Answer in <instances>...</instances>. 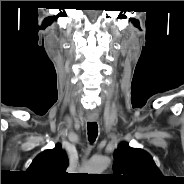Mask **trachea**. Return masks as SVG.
Returning <instances> with one entry per match:
<instances>
[{
  "label": "trachea",
  "instance_id": "trachea-1",
  "mask_svg": "<svg viewBox=\"0 0 184 184\" xmlns=\"http://www.w3.org/2000/svg\"><path fill=\"white\" fill-rule=\"evenodd\" d=\"M88 138L90 142H94L98 135V125L96 122H89L87 124Z\"/></svg>",
  "mask_w": 184,
  "mask_h": 184
}]
</instances>
